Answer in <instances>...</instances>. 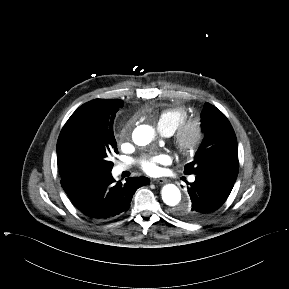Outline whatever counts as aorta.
Masks as SVG:
<instances>
[{
	"mask_svg": "<svg viewBox=\"0 0 289 289\" xmlns=\"http://www.w3.org/2000/svg\"><path fill=\"white\" fill-rule=\"evenodd\" d=\"M154 137V130L148 125H141L137 127L133 133V141L139 146H145L149 144ZM163 202L173 207L176 212H186L190 207L188 201L182 203L181 192L179 188L174 184H167L161 191Z\"/></svg>",
	"mask_w": 289,
	"mask_h": 289,
	"instance_id": "762f6f07",
	"label": "aorta"
}]
</instances>
